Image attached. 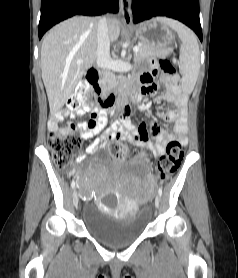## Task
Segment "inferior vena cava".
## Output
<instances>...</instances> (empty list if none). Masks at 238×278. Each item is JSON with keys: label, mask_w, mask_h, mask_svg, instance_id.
I'll use <instances>...</instances> for the list:
<instances>
[{"label": "inferior vena cava", "mask_w": 238, "mask_h": 278, "mask_svg": "<svg viewBox=\"0 0 238 278\" xmlns=\"http://www.w3.org/2000/svg\"><path fill=\"white\" fill-rule=\"evenodd\" d=\"M110 62V37L108 21L105 17L98 21L97 26V52L96 64L101 69H106Z\"/></svg>", "instance_id": "obj_1"}]
</instances>
